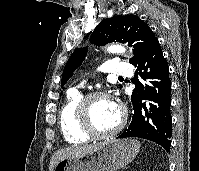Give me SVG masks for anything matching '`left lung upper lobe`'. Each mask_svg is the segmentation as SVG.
<instances>
[{
  "mask_svg": "<svg viewBox=\"0 0 199 171\" xmlns=\"http://www.w3.org/2000/svg\"><path fill=\"white\" fill-rule=\"evenodd\" d=\"M153 31L136 15L114 16L102 20L94 29L91 41L96 45H105L114 41L128 43L133 47L134 57L130 59L132 64L138 62L144 52L155 41ZM87 49L75 50L64 67L61 86L68 81L73 71L78 68L85 56Z\"/></svg>",
  "mask_w": 199,
  "mask_h": 171,
  "instance_id": "obj_1",
  "label": "left lung upper lobe"
}]
</instances>
